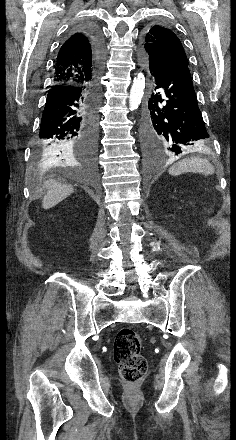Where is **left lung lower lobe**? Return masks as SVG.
Segmentation results:
<instances>
[{"label":"left lung lower lobe","mask_w":236,"mask_h":440,"mask_svg":"<svg viewBox=\"0 0 236 440\" xmlns=\"http://www.w3.org/2000/svg\"><path fill=\"white\" fill-rule=\"evenodd\" d=\"M156 89L152 91L142 125V138L150 155L161 150L176 154L206 144V130L191 74L179 60L149 66Z\"/></svg>","instance_id":"0a47b994"}]
</instances>
